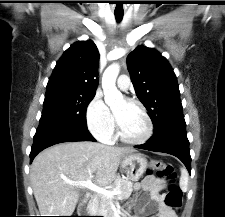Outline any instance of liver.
Returning <instances> with one entry per match:
<instances>
[{"instance_id":"obj_1","label":"liver","mask_w":225,"mask_h":217,"mask_svg":"<svg viewBox=\"0 0 225 217\" xmlns=\"http://www.w3.org/2000/svg\"><path fill=\"white\" fill-rule=\"evenodd\" d=\"M132 148L94 142H65L40 152L32 162L30 179L41 216H71L80 186L67 181L93 180L105 187L116 178L121 160Z\"/></svg>"}]
</instances>
